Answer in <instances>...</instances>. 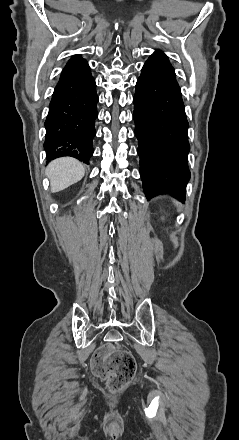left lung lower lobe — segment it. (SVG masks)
Instances as JSON below:
<instances>
[{"instance_id": "0a47b994", "label": "left lung lower lobe", "mask_w": 239, "mask_h": 440, "mask_svg": "<svg viewBox=\"0 0 239 440\" xmlns=\"http://www.w3.org/2000/svg\"><path fill=\"white\" fill-rule=\"evenodd\" d=\"M135 135L140 174L147 198L172 188L185 200L188 168V121L174 68L156 51L144 64L134 95Z\"/></svg>"}]
</instances>
